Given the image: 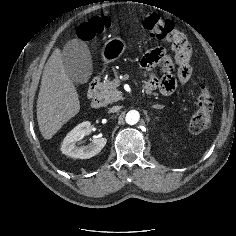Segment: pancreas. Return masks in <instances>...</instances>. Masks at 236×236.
<instances>
[{
    "label": "pancreas",
    "instance_id": "obj_1",
    "mask_svg": "<svg viewBox=\"0 0 236 236\" xmlns=\"http://www.w3.org/2000/svg\"><path fill=\"white\" fill-rule=\"evenodd\" d=\"M119 84L106 80L99 85L98 98L104 102V104L113 103L121 99L122 93L117 90Z\"/></svg>",
    "mask_w": 236,
    "mask_h": 236
}]
</instances>
